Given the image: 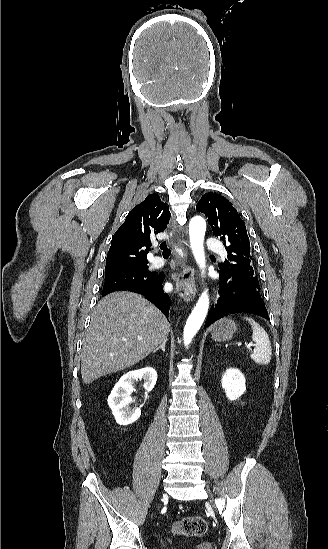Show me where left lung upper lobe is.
Returning <instances> with one entry per match:
<instances>
[{
	"instance_id": "5c2ea615",
	"label": "left lung upper lobe",
	"mask_w": 328,
	"mask_h": 549,
	"mask_svg": "<svg viewBox=\"0 0 328 549\" xmlns=\"http://www.w3.org/2000/svg\"><path fill=\"white\" fill-rule=\"evenodd\" d=\"M196 209L206 215L214 235L219 236L226 247L228 255L224 263L218 265L220 273L257 281L251 263L247 230L232 203L217 193L207 192L197 203Z\"/></svg>"
}]
</instances>
